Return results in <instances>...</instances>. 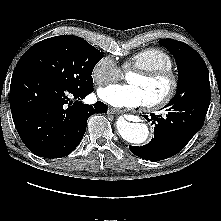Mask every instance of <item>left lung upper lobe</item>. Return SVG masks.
I'll return each instance as SVG.
<instances>
[{
	"mask_svg": "<svg viewBox=\"0 0 221 221\" xmlns=\"http://www.w3.org/2000/svg\"><path fill=\"white\" fill-rule=\"evenodd\" d=\"M159 44L174 55L179 72L177 92L169 103L185 102L210 92L207 66L192 47L174 39H163Z\"/></svg>",
	"mask_w": 221,
	"mask_h": 221,
	"instance_id": "1",
	"label": "left lung upper lobe"
}]
</instances>
